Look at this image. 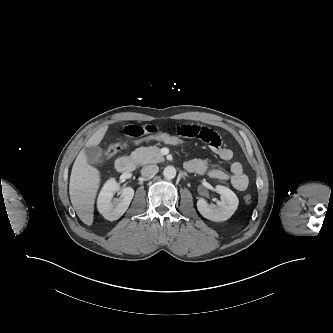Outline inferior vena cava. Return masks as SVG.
I'll return each instance as SVG.
<instances>
[{
	"label": "inferior vena cava",
	"mask_w": 333,
	"mask_h": 333,
	"mask_svg": "<svg viewBox=\"0 0 333 333\" xmlns=\"http://www.w3.org/2000/svg\"><path fill=\"white\" fill-rule=\"evenodd\" d=\"M159 171V167L157 165H147L141 169V175L144 177H153Z\"/></svg>",
	"instance_id": "inferior-vena-cava-1"
}]
</instances>
